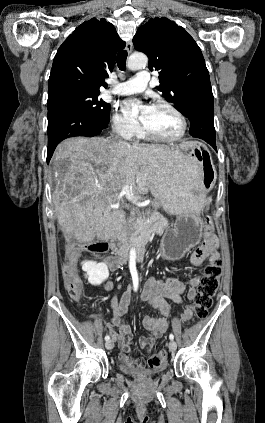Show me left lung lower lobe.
I'll use <instances>...</instances> for the list:
<instances>
[{"instance_id":"left-lung-lower-lobe-1","label":"left lung lower lobe","mask_w":265,"mask_h":423,"mask_svg":"<svg viewBox=\"0 0 265 423\" xmlns=\"http://www.w3.org/2000/svg\"><path fill=\"white\" fill-rule=\"evenodd\" d=\"M184 115L190 120V135L206 141L216 150L211 86L199 88L189 97Z\"/></svg>"}]
</instances>
